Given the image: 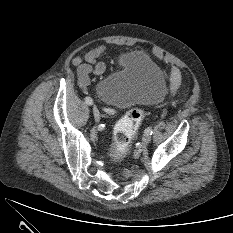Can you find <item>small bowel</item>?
I'll use <instances>...</instances> for the list:
<instances>
[{"instance_id": "small-bowel-1", "label": "small bowel", "mask_w": 233, "mask_h": 233, "mask_svg": "<svg viewBox=\"0 0 233 233\" xmlns=\"http://www.w3.org/2000/svg\"><path fill=\"white\" fill-rule=\"evenodd\" d=\"M105 50V45H99L84 51L81 55H76L72 59V64L77 67L78 79L82 85L89 84L92 74L99 76L105 72L106 65L99 59ZM180 83V71L177 68H172L170 72V90L175 92L180 86Z\"/></svg>"}]
</instances>
